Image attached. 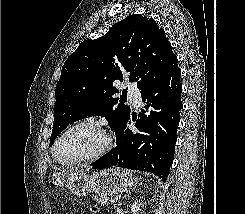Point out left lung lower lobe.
I'll return each instance as SVG.
<instances>
[{"instance_id": "1", "label": "left lung lower lobe", "mask_w": 245, "mask_h": 214, "mask_svg": "<svg viewBox=\"0 0 245 214\" xmlns=\"http://www.w3.org/2000/svg\"><path fill=\"white\" fill-rule=\"evenodd\" d=\"M180 74L174 64L158 83L141 93L146 109L151 110L139 114L135 123L139 132L127 128L129 117L116 137L117 146L95 161L93 169L118 166L150 172L167 180L183 107Z\"/></svg>"}]
</instances>
